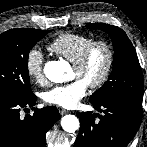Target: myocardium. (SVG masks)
Wrapping results in <instances>:
<instances>
[{
  "label": "myocardium",
  "mask_w": 147,
  "mask_h": 147,
  "mask_svg": "<svg viewBox=\"0 0 147 147\" xmlns=\"http://www.w3.org/2000/svg\"><path fill=\"white\" fill-rule=\"evenodd\" d=\"M97 48H103L106 52V64H105V68L102 72V74L100 75V77L89 83L88 86L90 88L93 89H97L102 87L109 79L112 70H113V66H114V49L112 47V45L103 39L100 40H95L93 42H91L85 49L84 51L81 53V55L79 56V58L72 63V67L78 71L83 70L85 68V66L87 65L88 61L90 60L93 52L97 49Z\"/></svg>",
  "instance_id": "1"
}]
</instances>
